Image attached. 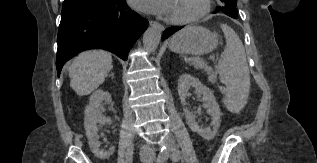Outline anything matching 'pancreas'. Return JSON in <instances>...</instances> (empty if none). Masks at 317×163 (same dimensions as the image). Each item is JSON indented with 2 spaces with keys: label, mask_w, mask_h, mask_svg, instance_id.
Instances as JSON below:
<instances>
[{
  "label": "pancreas",
  "mask_w": 317,
  "mask_h": 163,
  "mask_svg": "<svg viewBox=\"0 0 317 163\" xmlns=\"http://www.w3.org/2000/svg\"><path fill=\"white\" fill-rule=\"evenodd\" d=\"M192 64L196 69H205L207 73L209 74V80L214 81L216 79L215 74L212 72V69L203 61L199 59H193Z\"/></svg>",
  "instance_id": "pancreas-1"
}]
</instances>
